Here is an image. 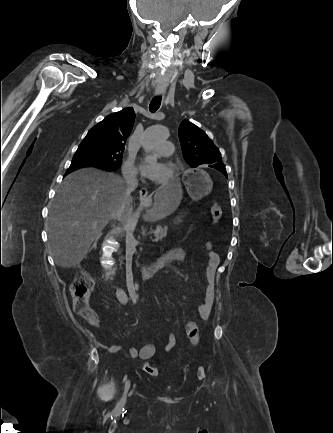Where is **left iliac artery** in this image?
<instances>
[{"instance_id":"obj_1","label":"left iliac artery","mask_w":333,"mask_h":433,"mask_svg":"<svg viewBox=\"0 0 333 433\" xmlns=\"http://www.w3.org/2000/svg\"><path fill=\"white\" fill-rule=\"evenodd\" d=\"M134 302H135V300H134ZM199 371L201 372L202 377H204L203 369H202V368H199Z\"/></svg>"}]
</instances>
